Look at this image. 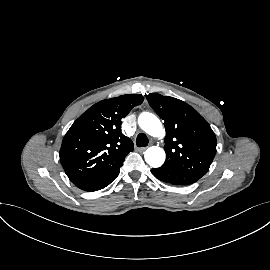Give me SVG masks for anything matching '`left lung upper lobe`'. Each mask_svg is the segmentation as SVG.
<instances>
[{"mask_svg": "<svg viewBox=\"0 0 270 270\" xmlns=\"http://www.w3.org/2000/svg\"><path fill=\"white\" fill-rule=\"evenodd\" d=\"M164 120L166 161L163 167L181 170L200 179L216 153V136L206 120L187 103L158 93L146 95Z\"/></svg>", "mask_w": 270, "mask_h": 270, "instance_id": "obj_1", "label": "left lung upper lobe"}]
</instances>
